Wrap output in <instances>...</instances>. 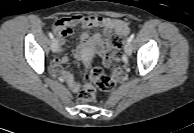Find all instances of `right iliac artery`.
Wrapping results in <instances>:
<instances>
[{
    "instance_id": "1",
    "label": "right iliac artery",
    "mask_w": 194,
    "mask_h": 133,
    "mask_svg": "<svg viewBox=\"0 0 194 133\" xmlns=\"http://www.w3.org/2000/svg\"><path fill=\"white\" fill-rule=\"evenodd\" d=\"M49 37H50L51 39H54V36H53V34H52L51 32H49Z\"/></svg>"
}]
</instances>
